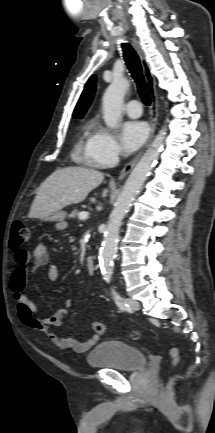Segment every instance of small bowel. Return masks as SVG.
<instances>
[{
    "mask_svg": "<svg viewBox=\"0 0 215 433\" xmlns=\"http://www.w3.org/2000/svg\"><path fill=\"white\" fill-rule=\"evenodd\" d=\"M49 260L47 247L43 243L36 244L31 252L24 249L15 251L14 261L16 267L10 277L9 289L16 302L18 317L25 326L46 333L56 347L70 349L76 353H85L98 342L99 336L97 334L92 335L85 341H79L69 333L59 335L49 330L50 326L64 327L63 317L72 305L71 300H67L64 307L54 311L48 317H42L24 293L30 270L47 265ZM31 262L33 264L32 267H30ZM59 276L60 268L52 265L48 269L47 278L50 281H56Z\"/></svg>",
    "mask_w": 215,
    "mask_h": 433,
    "instance_id": "small-bowel-1",
    "label": "small bowel"
}]
</instances>
